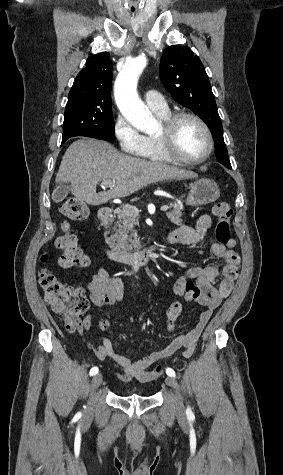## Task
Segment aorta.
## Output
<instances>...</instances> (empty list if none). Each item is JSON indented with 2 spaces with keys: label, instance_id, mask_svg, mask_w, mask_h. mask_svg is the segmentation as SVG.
Here are the masks:
<instances>
[{
  "label": "aorta",
  "instance_id": "762f6f07",
  "mask_svg": "<svg viewBox=\"0 0 283 475\" xmlns=\"http://www.w3.org/2000/svg\"><path fill=\"white\" fill-rule=\"evenodd\" d=\"M146 64L144 55L126 61L115 80L114 97L120 112L128 122L142 132L153 134L158 131L159 123L137 93L138 79ZM134 270H138L137 265Z\"/></svg>",
  "mask_w": 283,
  "mask_h": 475
}]
</instances>
